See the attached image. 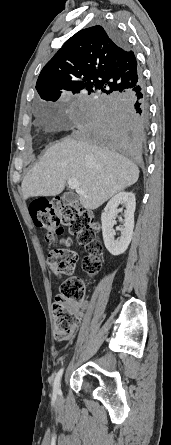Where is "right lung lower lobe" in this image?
<instances>
[{
	"label": "right lung lower lobe",
	"mask_w": 171,
	"mask_h": 445,
	"mask_svg": "<svg viewBox=\"0 0 171 445\" xmlns=\"http://www.w3.org/2000/svg\"><path fill=\"white\" fill-rule=\"evenodd\" d=\"M106 28L118 44H126L114 25ZM86 119L90 138L133 161L141 160L148 119L142 82L127 93L107 94L90 102Z\"/></svg>",
	"instance_id": "right-lung-lower-lobe-1"
}]
</instances>
